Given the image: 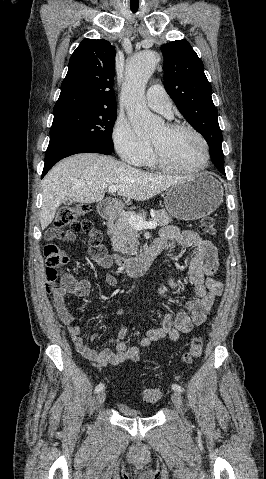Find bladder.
<instances>
[{
  "label": "bladder",
  "mask_w": 266,
  "mask_h": 479,
  "mask_svg": "<svg viewBox=\"0 0 266 479\" xmlns=\"http://www.w3.org/2000/svg\"><path fill=\"white\" fill-rule=\"evenodd\" d=\"M118 409L121 415L125 417H142L143 416V413L141 411L134 410L123 403L118 404Z\"/></svg>",
  "instance_id": "obj_1"
}]
</instances>
